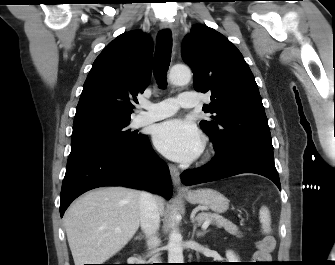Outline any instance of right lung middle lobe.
<instances>
[{
	"mask_svg": "<svg viewBox=\"0 0 335 265\" xmlns=\"http://www.w3.org/2000/svg\"><path fill=\"white\" fill-rule=\"evenodd\" d=\"M130 121L95 122L73 127L71 153L88 148H129L143 135L128 129Z\"/></svg>",
	"mask_w": 335,
	"mask_h": 265,
	"instance_id": "right-lung-middle-lobe-1",
	"label": "right lung middle lobe"
}]
</instances>
